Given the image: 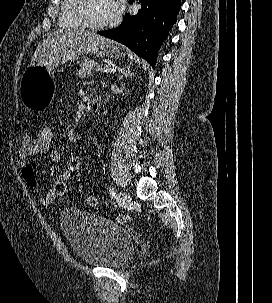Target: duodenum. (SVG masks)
I'll list each match as a JSON object with an SVG mask.
<instances>
[{"label": "duodenum", "mask_w": 272, "mask_h": 303, "mask_svg": "<svg viewBox=\"0 0 272 303\" xmlns=\"http://www.w3.org/2000/svg\"><path fill=\"white\" fill-rule=\"evenodd\" d=\"M102 97L100 95H96L93 97V99L91 100V103H90V110L92 111H97L100 109L101 107V104H102Z\"/></svg>", "instance_id": "1"}]
</instances>
